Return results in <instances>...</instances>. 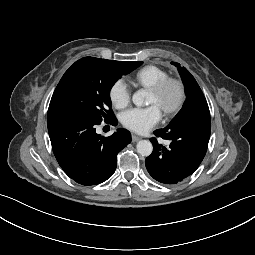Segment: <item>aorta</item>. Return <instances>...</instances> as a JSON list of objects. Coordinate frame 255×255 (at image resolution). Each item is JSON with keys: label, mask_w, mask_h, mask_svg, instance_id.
I'll return each mask as SVG.
<instances>
[{"label": "aorta", "mask_w": 255, "mask_h": 255, "mask_svg": "<svg viewBox=\"0 0 255 255\" xmlns=\"http://www.w3.org/2000/svg\"><path fill=\"white\" fill-rule=\"evenodd\" d=\"M148 93L145 90H139L132 96V101L136 106H145L149 102L147 100ZM137 152L142 156H149L153 151L152 143L148 140H141L137 143Z\"/></svg>", "instance_id": "aorta-1"}]
</instances>
